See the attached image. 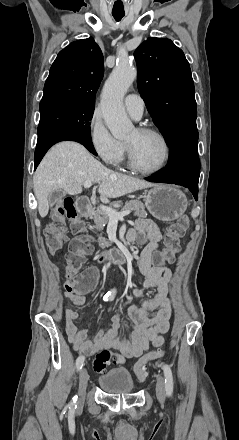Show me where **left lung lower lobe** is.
<instances>
[{
	"label": "left lung lower lobe",
	"mask_w": 239,
	"mask_h": 440,
	"mask_svg": "<svg viewBox=\"0 0 239 440\" xmlns=\"http://www.w3.org/2000/svg\"><path fill=\"white\" fill-rule=\"evenodd\" d=\"M198 137V131L177 136L169 145L170 155L166 169L155 176L146 178V180L182 185L187 187L197 200L200 175Z\"/></svg>",
	"instance_id": "obj_1"
}]
</instances>
